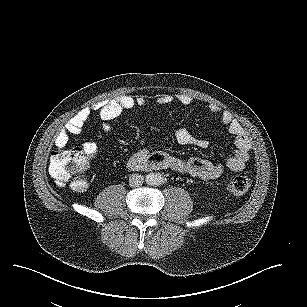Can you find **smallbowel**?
Here are the masks:
<instances>
[{
	"mask_svg": "<svg viewBox=\"0 0 307 307\" xmlns=\"http://www.w3.org/2000/svg\"><path fill=\"white\" fill-rule=\"evenodd\" d=\"M174 101L182 105H189L192 99L185 94H180L176 97L164 95L156 100V104L168 105ZM144 104V98L132 96H121L113 100L97 102L89 108L80 110L64 125L56 136L55 145L59 150L65 148L71 136L79 135L82 132L85 123L93 112L100 115L103 121L102 129L108 132L111 128V120L118 117L125 110ZM207 109L209 113L219 117L234 138L236 150L225 164L212 163L200 158L181 160L163 152L150 153L146 149H141L129 158L128 167L131 169H172L201 179L217 178L224 172L225 168L233 172L242 171L250 158L251 141L249 137L230 111L221 110L213 103H209ZM175 136L178 143L182 145H191L198 148H206L209 145L206 139L193 135L186 128H179ZM83 151L88 159H92L98 153V146L95 142H86L83 144Z\"/></svg>",
	"mask_w": 307,
	"mask_h": 307,
	"instance_id": "1",
	"label": "small bowel"
}]
</instances>
